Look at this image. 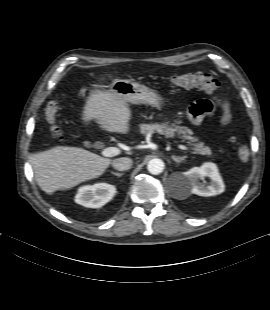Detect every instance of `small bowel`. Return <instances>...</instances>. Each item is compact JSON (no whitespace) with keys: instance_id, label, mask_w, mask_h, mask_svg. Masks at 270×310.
<instances>
[{"instance_id":"1","label":"small bowel","mask_w":270,"mask_h":310,"mask_svg":"<svg viewBox=\"0 0 270 310\" xmlns=\"http://www.w3.org/2000/svg\"><path fill=\"white\" fill-rule=\"evenodd\" d=\"M222 110H223V113H222V116H221V123L223 125H226L228 124L230 121H231V113H230V110H229V105L226 101H224L222 103ZM205 115L204 114H200L195 106L193 105L190 112H189V118L190 120L194 123V124H197L201 121V119L204 117Z\"/></svg>"}]
</instances>
